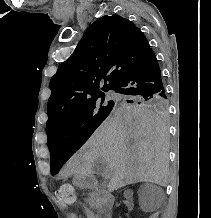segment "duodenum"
Returning a JSON list of instances; mask_svg holds the SVG:
<instances>
[{"mask_svg":"<svg viewBox=\"0 0 211 218\" xmlns=\"http://www.w3.org/2000/svg\"><path fill=\"white\" fill-rule=\"evenodd\" d=\"M81 181L84 186L94 188L99 185L98 180L90 173H83ZM114 205V197L110 194H105L100 207L101 218H111Z\"/></svg>","mask_w":211,"mask_h":218,"instance_id":"duodenum-1","label":"duodenum"}]
</instances>
